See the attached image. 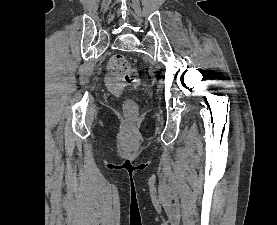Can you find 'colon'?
Wrapping results in <instances>:
<instances>
[{
    "label": "colon",
    "instance_id": "colon-1",
    "mask_svg": "<svg viewBox=\"0 0 277 225\" xmlns=\"http://www.w3.org/2000/svg\"><path fill=\"white\" fill-rule=\"evenodd\" d=\"M108 68L112 73L121 76L126 85L134 86L137 84L138 71L130 65L124 55L117 54L112 56L109 60ZM122 110L129 120L135 119L138 114V106L131 99L124 101Z\"/></svg>",
    "mask_w": 277,
    "mask_h": 225
}]
</instances>
